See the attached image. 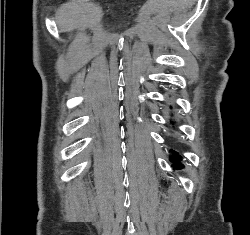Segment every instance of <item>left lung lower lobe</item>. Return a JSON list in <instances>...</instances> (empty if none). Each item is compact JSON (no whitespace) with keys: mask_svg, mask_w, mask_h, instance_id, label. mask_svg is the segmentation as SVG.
Returning a JSON list of instances; mask_svg holds the SVG:
<instances>
[{"mask_svg":"<svg viewBox=\"0 0 250 235\" xmlns=\"http://www.w3.org/2000/svg\"><path fill=\"white\" fill-rule=\"evenodd\" d=\"M171 160H172L173 162H175V163H174V166H176V168H182V164H178V163H179V157H178V156L172 157Z\"/></svg>","mask_w":250,"mask_h":235,"instance_id":"0a47b994","label":"left lung lower lobe"}]
</instances>
